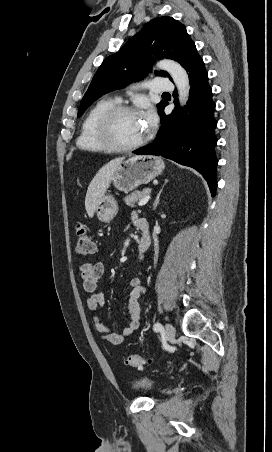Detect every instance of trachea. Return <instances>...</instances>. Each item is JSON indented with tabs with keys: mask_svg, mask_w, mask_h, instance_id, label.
Instances as JSON below:
<instances>
[{
	"mask_svg": "<svg viewBox=\"0 0 272 452\" xmlns=\"http://www.w3.org/2000/svg\"><path fill=\"white\" fill-rule=\"evenodd\" d=\"M165 94H169V93H167V92H166V93H163V95H165Z\"/></svg>",
	"mask_w": 272,
	"mask_h": 452,
	"instance_id": "obj_1",
	"label": "trachea"
}]
</instances>
